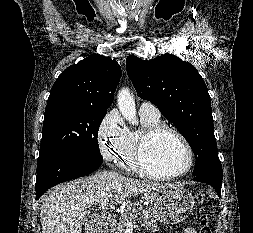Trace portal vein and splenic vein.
I'll return each mask as SVG.
<instances>
[{"label": "portal vein and splenic vein", "instance_id": "obj_1", "mask_svg": "<svg viewBox=\"0 0 253 233\" xmlns=\"http://www.w3.org/2000/svg\"><path fill=\"white\" fill-rule=\"evenodd\" d=\"M108 202H109L108 198L102 200L100 202L101 207L102 208L106 207L108 205ZM132 218H137V215L136 216H132V217L129 218L128 225H132Z\"/></svg>", "mask_w": 253, "mask_h": 233}]
</instances>
